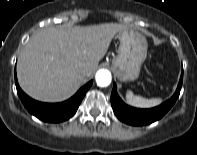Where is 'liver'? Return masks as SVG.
I'll use <instances>...</instances> for the list:
<instances>
[{
    "mask_svg": "<svg viewBox=\"0 0 197 155\" xmlns=\"http://www.w3.org/2000/svg\"><path fill=\"white\" fill-rule=\"evenodd\" d=\"M126 29L122 24L109 23L41 30L20 53L17 64L20 87L43 102L68 99L85 78L93 75L115 34Z\"/></svg>",
    "mask_w": 197,
    "mask_h": 155,
    "instance_id": "liver-1",
    "label": "liver"
}]
</instances>
